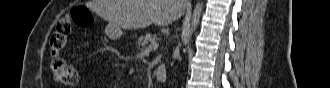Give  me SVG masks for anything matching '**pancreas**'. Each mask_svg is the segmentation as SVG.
Returning <instances> with one entry per match:
<instances>
[{
	"mask_svg": "<svg viewBox=\"0 0 330 88\" xmlns=\"http://www.w3.org/2000/svg\"><path fill=\"white\" fill-rule=\"evenodd\" d=\"M158 40L157 35L148 33L146 36L139 37L137 41V45L140 47H146L148 44L156 43Z\"/></svg>",
	"mask_w": 330,
	"mask_h": 88,
	"instance_id": "1",
	"label": "pancreas"
}]
</instances>
